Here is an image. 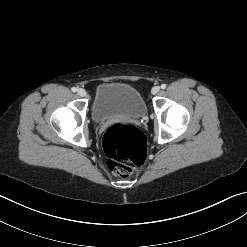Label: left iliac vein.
Listing matches in <instances>:
<instances>
[{"instance_id":"obj_1","label":"left iliac vein","mask_w":247,"mask_h":247,"mask_svg":"<svg viewBox=\"0 0 247 247\" xmlns=\"http://www.w3.org/2000/svg\"><path fill=\"white\" fill-rule=\"evenodd\" d=\"M160 91V87L159 86H154L151 90L152 94H157Z\"/></svg>"}]
</instances>
